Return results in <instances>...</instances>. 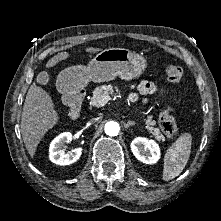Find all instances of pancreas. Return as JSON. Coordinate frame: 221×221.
<instances>
[{
  "instance_id": "obj_1",
  "label": "pancreas",
  "mask_w": 221,
  "mask_h": 221,
  "mask_svg": "<svg viewBox=\"0 0 221 221\" xmlns=\"http://www.w3.org/2000/svg\"><path fill=\"white\" fill-rule=\"evenodd\" d=\"M115 91L118 93L119 88L113 87L111 84L97 87L93 91V96L90 99V104L92 106L101 107L102 105L99 103V100L102 98V96L112 95L114 94ZM152 118L153 116L149 115L147 119L144 120L146 124V129L148 130L149 133H151L155 137L157 141H161V140L163 141L165 137L160 133V130L158 128L154 127L155 121H153Z\"/></svg>"
}]
</instances>
